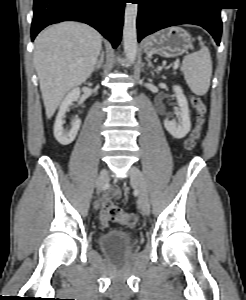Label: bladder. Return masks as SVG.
Returning a JSON list of instances; mask_svg holds the SVG:
<instances>
[{"mask_svg":"<svg viewBox=\"0 0 246 300\" xmlns=\"http://www.w3.org/2000/svg\"><path fill=\"white\" fill-rule=\"evenodd\" d=\"M100 248L112 257L124 256L132 246L133 235L123 230H108L99 237Z\"/></svg>","mask_w":246,"mask_h":300,"instance_id":"obj_1","label":"bladder"}]
</instances>
